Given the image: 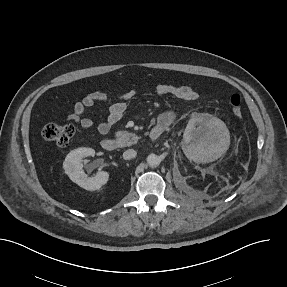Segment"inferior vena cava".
Returning <instances> with one entry per match:
<instances>
[{
    "label": "inferior vena cava",
    "mask_w": 287,
    "mask_h": 287,
    "mask_svg": "<svg viewBox=\"0 0 287 287\" xmlns=\"http://www.w3.org/2000/svg\"><path fill=\"white\" fill-rule=\"evenodd\" d=\"M137 155V152L134 149H128L123 153V158L125 160H130L132 158H135Z\"/></svg>",
    "instance_id": "inferior-vena-cava-1"
}]
</instances>
